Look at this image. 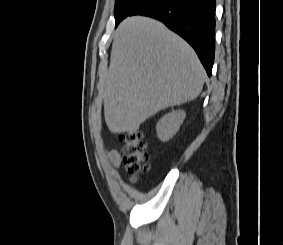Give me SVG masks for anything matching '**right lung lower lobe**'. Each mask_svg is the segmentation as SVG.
Here are the masks:
<instances>
[{
  "label": "right lung lower lobe",
  "instance_id": "98d812e1",
  "mask_svg": "<svg viewBox=\"0 0 283 245\" xmlns=\"http://www.w3.org/2000/svg\"><path fill=\"white\" fill-rule=\"evenodd\" d=\"M216 0H146L131 15H145L162 21L183 37L196 51L208 76L215 53Z\"/></svg>",
  "mask_w": 283,
  "mask_h": 245
}]
</instances>
